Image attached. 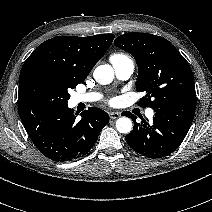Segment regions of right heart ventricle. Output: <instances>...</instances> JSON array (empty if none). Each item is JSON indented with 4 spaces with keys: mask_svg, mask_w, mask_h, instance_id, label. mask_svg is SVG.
Here are the masks:
<instances>
[{
    "mask_svg": "<svg viewBox=\"0 0 212 212\" xmlns=\"http://www.w3.org/2000/svg\"><path fill=\"white\" fill-rule=\"evenodd\" d=\"M124 58H127V56L124 54H121V53H116L111 56V61H117V60H121Z\"/></svg>",
    "mask_w": 212,
    "mask_h": 212,
    "instance_id": "1",
    "label": "right heart ventricle"
}]
</instances>
